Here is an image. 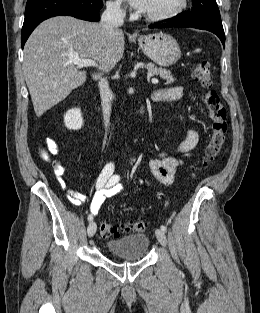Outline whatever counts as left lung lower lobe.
Here are the masks:
<instances>
[{
  "instance_id": "obj_1",
  "label": "left lung lower lobe",
  "mask_w": 260,
  "mask_h": 313,
  "mask_svg": "<svg viewBox=\"0 0 260 313\" xmlns=\"http://www.w3.org/2000/svg\"><path fill=\"white\" fill-rule=\"evenodd\" d=\"M149 27L150 28L193 27V28H197V29L208 30V31L216 34L220 38L223 45H225V34H224V30H223L222 26H215V25H210V24H201V23L192 22V21H189V20L182 18V19L171 20L169 23L152 25Z\"/></svg>"
}]
</instances>
